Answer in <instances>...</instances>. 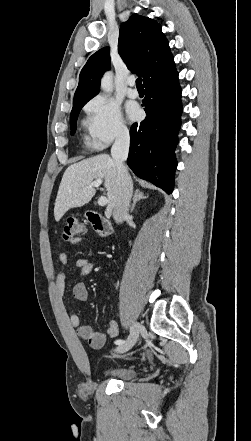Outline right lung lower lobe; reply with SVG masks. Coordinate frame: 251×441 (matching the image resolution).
Listing matches in <instances>:
<instances>
[{
	"label": "right lung lower lobe",
	"mask_w": 251,
	"mask_h": 441,
	"mask_svg": "<svg viewBox=\"0 0 251 441\" xmlns=\"http://www.w3.org/2000/svg\"><path fill=\"white\" fill-rule=\"evenodd\" d=\"M146 97L142 106L147 114L130 129L128 166L140 178L150 181L167 194L174 188L182 112L181 89L175 65L144 83Z\"/></svg>",
	"instance_id": "obj_1"
}]
</instances>
